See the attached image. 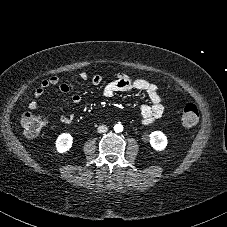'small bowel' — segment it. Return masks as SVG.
I'll use <instances>...</instances> for the list:
<instances>
[{"mask_svg": "<svg viewBox=\"0 0 227 227\" xmlns=\"http://www.w3.org/2000/svg\"><path fill=\"white\" fill-rule=\"evenodd\" d=\"M78 77L81 81H85L87 80L88 75L85 72H81ZM91 82L94 86H99L102 83V77L100 75H95L92 77ZM52 86H57L63 94L70 95V98L74 103L81 102V95L72 92L71 87L68 83L60 82L57 76H52L48 79L43 80L36 88L34 92V97L28 105L29 109H36L38 107L39 100L45 94L46 90ZM133 91L146 92L149 98V103L140 104L142 124H150L163 115L164 106L161 103V97L158 93V88L155 84L145 79L131 80L126 74L119 73L113 81L105 85L103 89V94L105 97L110 98L120 92ZM59 120L62 124L69 125L74 122V115L64 114L59 117Z\"/></svg>", "mask_w": 227, "mask_h": 227, "instance_id": "obj_1", "label": "small bowel"}]
</instances>
